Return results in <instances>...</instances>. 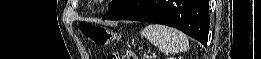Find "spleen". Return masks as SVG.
<instances>
[{
  "mask_svg": "<svg viewBox=\"0 0 261 59\" xmlns=\"http://www.w3.org/2000/svg\"><path fill=\"white\" fill-rule=\"evenodd\" d=\"M145 37L160 51L176 54L189 48L188 38L179 30L160 24H150L141 31Z\"/></svg>",
  "mask_w": 261,
  "mask_h": 59,
  "instance_id": "obj_1",
  "label": "spleen"
}]
</instances>
